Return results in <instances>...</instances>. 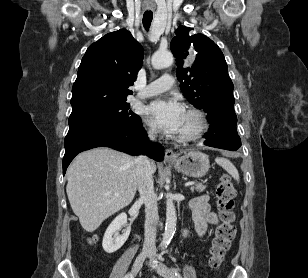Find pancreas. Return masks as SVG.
I'll return each instance as SVG.
<instances>
[{
	"instance_id": "obj_1",
	"label": "pancreas",
	"mask_w": 308,
	"mask_h": 278,
	"mask_svg": "<svg viewBox=\"0 0 308 278\" xmlns=\"http://www.w3.org/2000/svg\"><path fill=\"white\" fill-rule=\"evenodd\" d=\"M191 191H197L199 193L203 192L206 189V185H203L202 183H197L194 186H191Z\"/></svg>"
}]
</instances>
